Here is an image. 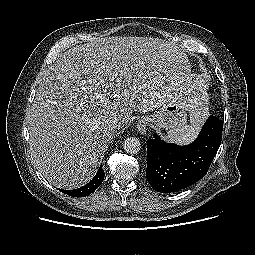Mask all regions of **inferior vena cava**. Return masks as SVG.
<instances>
[{
	"label": "inferior vena cava",
	"instance_id": "602c4592",
	"mask_svg": "<svg viewBox=\"0 0 255 255\" xmlns=\"http://www.w3.org/2000/svg\"><path fill=\"white\" fill-rule=\"evenodd\" d=\"M109 126L113 131H115V129L119 126V120L117 118L112 119L109 122Z\"/></svg>",
	"mask_w": 255,
	"mask_h": 255
}]
</instances>
